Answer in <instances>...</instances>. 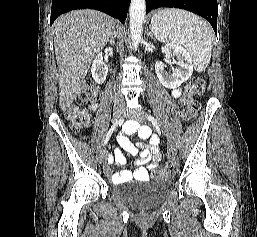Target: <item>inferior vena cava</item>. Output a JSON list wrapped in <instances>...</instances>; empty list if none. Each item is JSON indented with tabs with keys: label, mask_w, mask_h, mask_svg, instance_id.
I'll list each match as a JSON object with an SVG mask.
<instances>
[{
	"label": "inferior vena cava",
	"mask_w": 257,
	"mask_h": 237,
	"mask_svg": "<svg viewBox=\"0 0 257 237\" xmlns=\"http://www.w3.org/2000/svg\"><path fill=\"white\" fill-rule=\"evenodd\" d=\"M114 99H115V101H117V102H121V101L124 100L123 96L120 94L119 91H115V93H114Z\"/></svg>",
	"instance_id": "inferior-vena-cava-1"
}]
</instances>
